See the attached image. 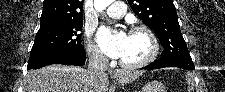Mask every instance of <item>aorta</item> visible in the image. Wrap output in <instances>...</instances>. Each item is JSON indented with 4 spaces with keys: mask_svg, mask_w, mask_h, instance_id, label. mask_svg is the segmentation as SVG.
I'll list each match as a JSON object with an SVG mask.
<instances>
[{
    "mask_svg": "<svg viewBox=\"0 0 225 92\" xmlns=\"http://www.w3.org/2000/svg\"><path fill=\"white\" fill-rule=\"evenodd\" d=\"M114 0H94V6L97 11L104 10L109 6Z\"/></svg>",
    "mask_w": 225,
    "mask_h": 92,
    "instance_id": "aorta-1",
    "label": "aorta"
}]
</instances>
